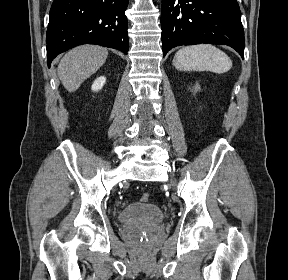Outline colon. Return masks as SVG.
Wrapping results in <instances>:
<instances>
[{
	"instance_id": "1",
	"label": "colon",
	"mask_w": 288,
	"mask_h": 280,
	"mask_svg": "<svg viewBox=\"0 0 288 280\" xmlns=\"http://www.w3.org/2000/svg\"><path fill=\"white\" fill-rule=\"evenodd\" d=\"M151 200V195L149 193H144L141 197L143 203H148Z\"/></svg>"
}]
</instances>
